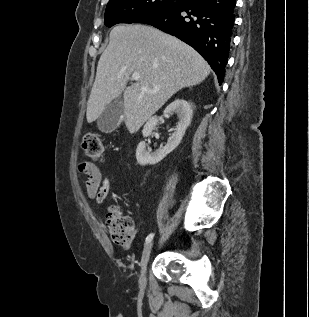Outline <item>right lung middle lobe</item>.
I'll use <instances>...</instances> for the list:
<instances>
[{
  "instance_id": "1",
  "label": "right lung middle lobe",
  "mask_w": 309,
  "mask_h": 317,
  "mask_svg": "<svg viewBox=\"0 0 309 317\" xmlns=\"http://www.w3.org/2000/svg\"><path fill=\"white\" fill-rule=\"evenodd\" d=\"M187 0H110L104 24L112 27L119 23H134L137 19L165 9L175 8Z\"/></svg>"
}]
</instances>
